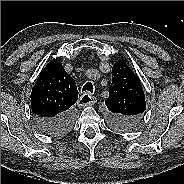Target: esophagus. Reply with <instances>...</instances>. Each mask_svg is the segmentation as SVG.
Returning <instances> with one entry per match:
<instances>
[{"mask_svg": "<svg viewBox=\"0 0 184 184\" xmlns=\"http://www.w3.org/2000/svg\"><path fill=\"white\" fill-rule=\"evenodd\" d=\"M96 101H97L96 97L92 96L89 93H84L83 95L80 96L78 100V105L81 107L90 106L95 104Z\"/></svg>", "mask_w": 184, "mask_h": 184, "instance_id": "1", "label": "esophagus"}]
</instances>
